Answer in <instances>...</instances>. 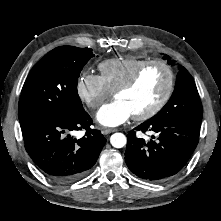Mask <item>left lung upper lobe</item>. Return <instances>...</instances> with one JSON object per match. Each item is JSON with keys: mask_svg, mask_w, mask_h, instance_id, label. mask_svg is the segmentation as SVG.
<instances>
[{"mask_svg": "<svg viewBox=\"0 0 221 221\" xmlns=\"http://www.w3.org/2000/svg\"><path fill=\"white\" fill-rule=\"evenodd\" d=\"M168 62L173 63L170 58ZM179 68L170 100L153 118L160 116L177 118L200 129L203 109L195 82L186 68L182 66Z\"/></svg>", "mask_w": 221, "mask_h": 221, "instance_id": "1", "label": "left lung upper lobe"}]
</instances>
